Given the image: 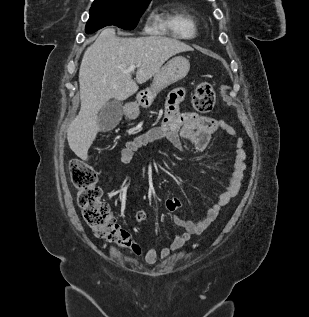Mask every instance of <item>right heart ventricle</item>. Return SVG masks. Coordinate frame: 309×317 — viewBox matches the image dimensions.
Returning <instances> with one entry per match:
<instances>
[{
    "label": "right heart ventricle",
    "mask_w": 309,
    "mask_h": 317,
    "mask_svg": "<svg viewBox=\"0 0 309 317\" xmlns=\"http://www.w3.org/2000/svg\"><path fill=\"white\" fill-rule=\"evenodd\" d=\"M166 24L174 34L183 38H192L197 34V21L186 11L177 12Z\"/></svg>",
    "instance_id": "obj_1"
}]
</instances>
